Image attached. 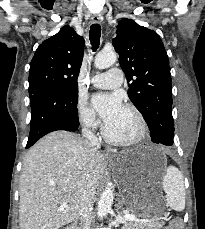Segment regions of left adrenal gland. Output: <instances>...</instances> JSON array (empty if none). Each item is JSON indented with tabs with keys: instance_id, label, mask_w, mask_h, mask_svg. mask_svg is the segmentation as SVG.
<instances>
[{
	"instance_id": "obj_1",
	"label": "left adrenal gland",
	"mask_w": 205,
	"mask_h": 229,
	"mask_svg": "<svg viewBox=\"0 0 205 229\" xmlns=\"http://www.w3.org/2000/svg\"><path fill=\"white\" fill-rule=\"evenodd\" d=\"M122 205H123L122 201L119 200V202H118V204H117V206H116V207H117L116 211H117L118 213H120L121 208H122Z\"/></svg>"
}]
</instances>
